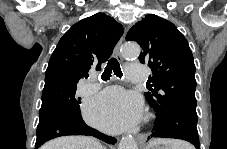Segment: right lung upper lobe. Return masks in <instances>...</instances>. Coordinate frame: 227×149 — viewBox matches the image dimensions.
I'll use <instances>...</instances> for the list:
<instances>
[{
    "mask_svg": "<svg viewBox=\"0 0 227 149\" xmlns=\"http://www.w3.org/2000/svg\"><path fill=\"white\" fill-rule=\"evenodd\" d=\"M122 33V25L104 13H96L74 24L59 40L51 55L44 88L76 86L90 68L100 70Z\"/></svg>",
    "mask_w": 227,
    "mask_h": 149,
    "instance_id": "right-lung-upper-lobe-1",
    "label": "right lung upper lobe"
}]
</instances>
